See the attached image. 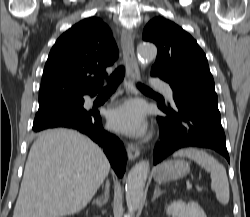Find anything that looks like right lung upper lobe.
Here are the masks:
<instances>
[{
	"label": "right lung upper lobe",
	"instance_id": "1",
	"mask_svg": "<svg viewBox=\"0 0 250 217\" xmlns=\"http://www.w3.org/2000/svg\"><path fill=\"white\" fill-rule=\"evenodd\" d=\"M118 57L109 27L90 17L63 33L45 64L39 107L95 93L106 78V67Z\"/></svg>",
	"mask_w": 250,
	"mask_h": 217
}]
</instances>
